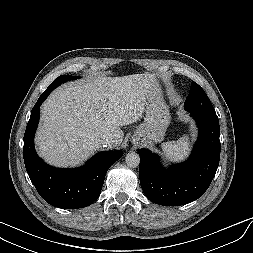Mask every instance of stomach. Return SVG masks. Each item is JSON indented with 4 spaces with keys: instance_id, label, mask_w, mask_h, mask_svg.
<instances>
[{
    "instance_id": "0dacf381",
    "label": "stomach",
    "mask_w": 253,
    "mask_h": 253,
    "mask_svg": "<svg viewBox=\"0 0 253 253\" xmlns=\"http://www.w3.org/2000/svg\"><path fill=\"white\" fill-rule=\"evenodd\" d=\"M170 113L164 102L160 87L148 94L144 122L132 136V141L141 140L146 144L161 142L170 124Z\"/></svg>"
}]
</instances>
